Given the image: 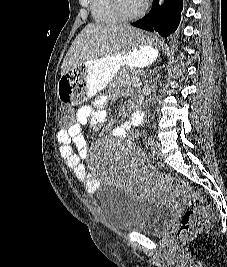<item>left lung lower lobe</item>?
<instances>
[{"label": "left lung lower lobe", "instance_id": "obj_1", "mask_svg": "<svg viewBox=\"0 0 227 267\" xmlns=\"http://www.w3.org/2000/svg\"><path fill=\"white\" fill-rule=\"evenodd\" d=\"M159 0H154L150 12L131 25L147 31H157L161 36L167 37L177 29L183 0H166L159 6Z\"/></svg>", "mask_w": 227, "mask_h": 267}]
</instances>
